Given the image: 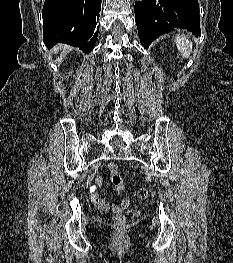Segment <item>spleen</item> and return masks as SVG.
<instances>
[{"mask_svg":"<svg viewBox=\"0 0 233 263\" xmlns=\"http://www.w3.org/2000/svg\"><path fill=\"white\" fill-rule=\"evenodd\" d=\"M175 43L181 56L184 59L189 58L192 52V42L189 41L187 37L178 35L175 38Z\"/></svg>","mask_w":233,"mask_h":263,"instance_id":"1","label":"spleen"}]
</instances>
